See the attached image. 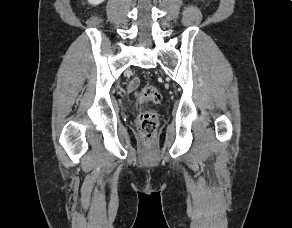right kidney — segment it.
I'll list each match as a JSON object with an SVG mask.
<instances>
[{"label":"right kidney","instance_id":"ca27d5eb","mask_svg":"<svg viewBox=\"0 0 292 228\" xmlns=\"http://www.w3.org/2000/svg\"><path fill=\"white\" fill-rule=\"evenodd\" d=\"M105 0H88V2L92 5H98L102 2H104Z\"/></svg>","mask_w":292,"mask_h":228}]
</instances>
